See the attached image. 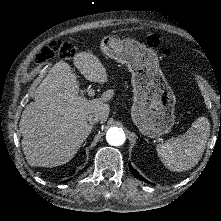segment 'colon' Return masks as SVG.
Returning <instances> with one entry per match:
<instances>
[{
    "mask_svg": "<svg viewBox=\"0 0 221 221\" xmlns=\"http://www.w3.org/2000/svg\"><path fill=\"white\" fill-rule=\"evenodd\" d=\"M148 47L159 49L160 40L156 36H149L146 40ZM76 52L75 47L69 42L53 41L43 46L36 52L32 64L40 66L52 61L56 56L63 59L71 58Z\"/></svg>",
    "mask_w": 221,
    "mask_h": 221,
    "instance_id": "5ec220e1",
    "label": "colon"
}]
</instances>
